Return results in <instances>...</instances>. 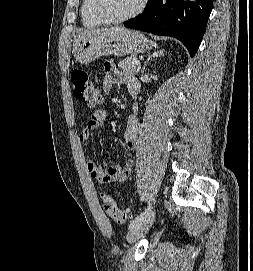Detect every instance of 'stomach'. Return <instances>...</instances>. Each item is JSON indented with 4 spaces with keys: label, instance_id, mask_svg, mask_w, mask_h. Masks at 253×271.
I'll return each mask as SVG.
<instances>
[{
    "label": "stomach",
    "instance_id": "0dacf381",
    "mask_svg": "<svg viewBox=\"0 0 253 271\" xmlns=\"http://www.w3.org/2000/svg\"><path fill=\"white\" fill-rule=\"evenodd\" d=\"M150 44L139 31L124 28L94 32L74 42L76 61L89 64L105 55L125 56L149 49Z\"/></svg>",
    "mask_w": 253,
    "mask_h": 271
}]
</instances>
